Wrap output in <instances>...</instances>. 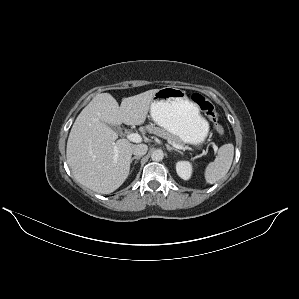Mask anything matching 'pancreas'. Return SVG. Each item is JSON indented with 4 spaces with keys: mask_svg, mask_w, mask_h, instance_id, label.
Instances as JSON below:
<instances>
[{
    "mask_svg": "<svg viewBox=\"0 0 299 299\" xmlns=\"http://www.w3.org/2000/svg\"><path fill=\"white\" fill-rule=\"evenodd\" d=\"M147 129L149 130V132L168 140V142L171 144H177V145L182 144L181 141L176 136L168 133L167 131H165L164 129H162L160 127H155L153 125H149V126H147Z\"/></svg>",
    "mask_w": 299,
    "mask_h": 299,
    "instance_id": "cf45deb5",
    "label": "pancreas"
}]
</instances>
